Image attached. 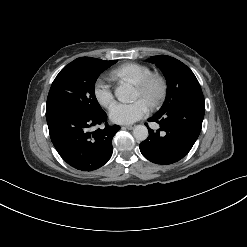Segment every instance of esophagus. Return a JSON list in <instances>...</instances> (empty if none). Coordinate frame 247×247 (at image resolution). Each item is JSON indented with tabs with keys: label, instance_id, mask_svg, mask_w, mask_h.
I'll return each mask as SVG.
<instances>
[{
	"label": "esophagus",
	"instance_id": "esophagus-1",
	"mask_svg": "<svg viewBox=\"0 0 247 247\" xmlns=\"http://www.w3.org/2000/svg\"><path fill=\"white\" fill-rule=\"evenodd\" d=\"M134 127H135V125H133V124L123 126V128L129 129V130H132Z\"/></svg>",
	"mask_w": 247,
	"mask_h": 247
}]
</instances>
